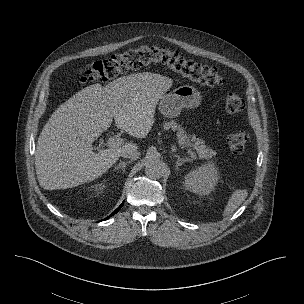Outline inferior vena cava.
Listing matches in <instances>:
<instances>
[{
    "label": "inferior vena cava",
    "instance_id": "obj_1",
    "mask_svg": "<svg viewBox=\"0 0 304 304\" xmlns=\"http://www.w3.org/2000/svg\"><path fill=\"white\" fill-rule=\"evenodd\" d=\"M141 153L133 148V149H128L124 152H122L121 156L124 157V158H130V159H133V160H137L139 159Z\"/></svg>",
    "mask_w": 304,
    "mask_h": 304
}]
</instances>
